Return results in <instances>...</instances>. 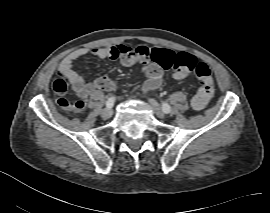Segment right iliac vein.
Here are the masks:
<instances>
[{
  "label": "right iliac vein",
  "mask_w": 270,
  "mask_h": 213,
  "mask_svg": "<svg viewBox=\"0 0 270 213\" xmlns=\"http://www.w3.org/2000/svg\"><path fill=\"white\" fill-rule=\"evenodd\" d=\"M112 114H113V111H112L111 108H105V109L102 111L101 116H102V118H104V119H108V118H110V117L112 116Z\"/></svg>",
  "instance_id": "right-iliac-vein-1"
}]
</instances>
